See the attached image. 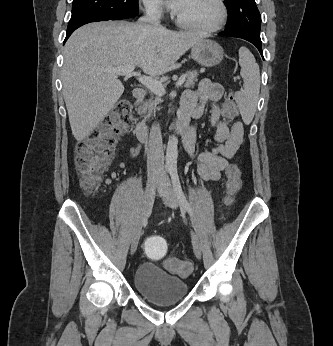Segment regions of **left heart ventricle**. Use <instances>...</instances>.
Wrapping results in <instances>:
<instances>
[{
  "instance_id": "1",
  "label": "left heart ventricle",
  "mask_w": 333,
  "mask_h": 346,
  "mask_svg": "<svg viewBox=\"0 0 333 346\" xmlns=\"http://www.w3.org/2000/svg\"><path fill=\"white\" fill-rule=\"evenodd\" d=\"M177 14L192 24L209 27L218 21L220 10L215 0H186Z\"/></svg>"
}]
</instances>
